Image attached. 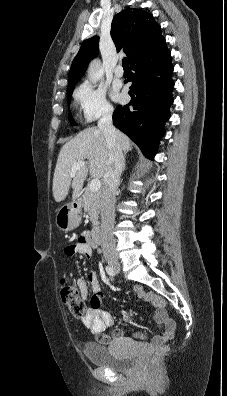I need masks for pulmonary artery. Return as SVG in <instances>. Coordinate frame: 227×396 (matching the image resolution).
Returning <instances> with one entry per match:
<instances>
[{"label": "pulmonary artery", "instance_id": "pulmonary-artery-1", "mask_svg": "<svg viewBox=\"0 0 227 396\" xmlns=\"http://www.w3.org/2000/svg\"><path fill=\"white\" fill-rule=\"evenodd\" d=\"M114 74L116 77H122L124 75V70L122 66L120 65L116 66V68L114 69Z\"/></svg>", "mask_w": 227, "mask_h": 396}]
</instances>
